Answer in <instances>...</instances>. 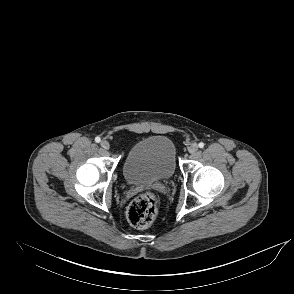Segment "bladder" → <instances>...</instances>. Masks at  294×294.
<instances>
[{
    "label": "bladder",
    "mask_w": 294,
    "mask_h": 294,
    "mask_svg": "<svg viewBox=\"0 0 294 294\" xmlns=\"http://www.w3.org/2000/svg\"><path fill=\"white\" fill-rule=\"evenodd\" d=\"M177 150L163 135L144 138L135 143L123 163V177L133 186L169 179L176 170Z\"/></svg>",
    "instance_id": "31cf9c89"
}]
</instances>
